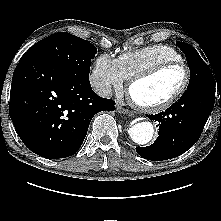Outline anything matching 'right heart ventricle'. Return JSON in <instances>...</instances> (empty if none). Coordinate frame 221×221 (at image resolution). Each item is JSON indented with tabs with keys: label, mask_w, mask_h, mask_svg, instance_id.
Instances as JSON below:
<instances>
[{
	"label": "right heart ventricle",
	"mask_w": 221,
	"mask_h": 221,
	"mask_svg": "<svg viewBox=\"0 0 221 221\" xmlns=\"http://www.w3.org/2000/svg\"><path fill=\"white\" fill-rule=\"evenodd\" d=\"M181 61V54L173 47L165 44H153L140 49L122 53L117 63L125 79L165 61Z\"/></svg>",
	"instance_id": "right-heart-ventricle-1"
}]
</instances>
